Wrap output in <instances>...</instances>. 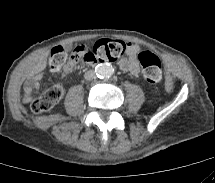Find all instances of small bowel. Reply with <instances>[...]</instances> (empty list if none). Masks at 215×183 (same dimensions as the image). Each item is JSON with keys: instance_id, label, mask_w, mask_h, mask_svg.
Here are the masks:
<instances>
[{"instance_id": "1", "label": "small bowel", "mask_w": 215, "mask_h": 183, "mask_svg": "<svg viewBox=\"0 0 215 183\" xmlns=\"http://www.w3.org/2000/svg\"><path fill=\"white\" fill-rule=\"evenodd\" d=\"M139 51V48L135 44H127V54L128 57L122 58L119 61V67L123 74H132L136 75L139 72V66L136 61V55ZM77 63L72 59L69 60L68 64L64 68L63 72H68L75 68ZM45 67L44 59H39L36 64L32 67L31 72L24 83L23 86V98L24 101H30L33 96L41 88V79L43 77V70Z\"/></svg>"}]
</instances>
